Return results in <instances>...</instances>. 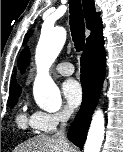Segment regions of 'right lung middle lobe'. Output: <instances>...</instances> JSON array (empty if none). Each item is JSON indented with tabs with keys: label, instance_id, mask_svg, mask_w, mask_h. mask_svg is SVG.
I'll use <instances>...</instances> for the list:
<instances>
[{
	"label": "right lung middle lobe",
	"instance_id": "obj_1",
	"mask_svg": "<svg viewBox=\"0 0 123 152\" xmlns=\"http://www.w3.org/2000/svg\"><path fill=\"white\" fill-rule=\"evenodd\" d=\"M20 93L21 91L9 95V102H8L9 107H13L15 105V103L17 102V98L20 96Z\"/></svg>",
	"mask_w": 123,
	"mask_h": 152
}]
</instances>
